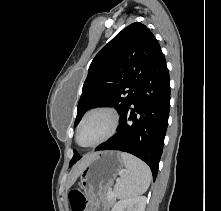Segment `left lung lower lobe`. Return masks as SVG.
Listing matches in <instances>:
<instances>
[{
  "label": "left lung lower lobe",
  "instance_id": "1",
  "mask_svg": "<svg viewBox=\"0 0 221 211\" xmlns=\"http://www.w3.org/2000/svg\"><path fill=\"white\" fill-rule=\"evenodd\" d=\"M170 80L162 51L151 64L137 95L123 114L118 132L95 151L119 150L142 159L156 179L168 125Z\"/></svg>",
  "mask_w": 221,
  "mask_h": 211
}]
</instances>
